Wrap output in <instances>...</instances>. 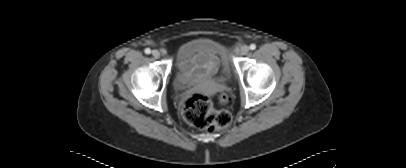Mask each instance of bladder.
<instances>
[{
    "instance_id": "bladder-1",
    "label": "bladder",
    "mask_w": 406,
    "mask_h": 168,
    "mask_svg": "<svg viewBox=\"0 0 406 168\" xmlns=\"http://www.w3.org/2000/svg\"><path fill=\"white\" fill-rule=\"evenodd\" d=\"M221 52L220 44L208 38H197L182 45L176 58V70L173 79L174 88L183 90L196 82L194 75L184 70L185 63L196 54H203L213 58L217 63L215 72L220 75H227V68L220 64L219 61V53Z\"/></svg>"
}]
</instances>
